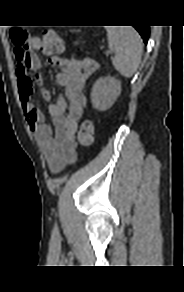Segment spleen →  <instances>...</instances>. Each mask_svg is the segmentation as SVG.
Here are the masks:
<instances>
[{
	"label": "spleen",
	"instance_id": "3e777b00",
	"mask_svg": "<svg viewBox=\"0 0 184 292\" xmlns=\"http://www.w3.org/2000/svg\"><path fill=\"white\" fill-rule=\"evenodd\" d=\"M109 49L114 51V68L130 78L137 71L142 56V40L133 27H107Z\"/></svg>",
	"mask_w": 184,
	"mask_h": 292
}]
</instances>
